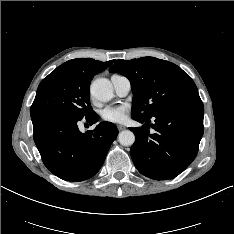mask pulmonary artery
<instances>
[{
    "mask_svg": "<svg viewBox=\"0 0 234 234\" xmlns=\"http://www.w3.org/2000/svg\"><path fill=\"white\" fill-rule=\"evenodd\" d=\"M111 82L119 96H126L131 90L130 80L123 75H113L111 77Z\"/></svg>",
    "mask_w": 234,
    "mask_h": 234,
    "instance_id": "obj_1",
    "label": "pulmonary artery"
}]
</instances>
